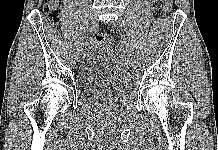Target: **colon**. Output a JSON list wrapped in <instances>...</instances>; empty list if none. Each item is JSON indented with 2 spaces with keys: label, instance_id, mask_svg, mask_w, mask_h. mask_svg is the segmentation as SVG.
<instances>
[{
  "label": "colon",
  "instance_id": "1",
  "mask_svg": "<svg viewBox=\"0 0 218 150\" xmlns=\"http://www.w3.org/2000/svg\"><path fill=\"white\" fill-rule=\"evenodd\" d=\"M62 7V0H45L44 1V12L47 18L52 22L56 23L59 20L60 12ZM168 9L163 0H153L151 4V12L155 19H162ZM96 43L104 48H109L112 44V38L105 33H100L96 36Z\"/></svg>",
  "mask_w": 218,
  "mask_h": 150
}]
</instances>
